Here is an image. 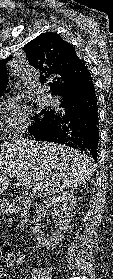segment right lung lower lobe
<instances>
[{"label": "right lung lower lobe", "instance_id": "right-lung-lower-lobe-1", "mask_svg": "<svg viewBox=\"0 0 113 279\" xmlns=\"http://www.w3.org/2000/svg\"><path fill=\"white\" fill-rule=\"evenodd\" d=\"M60 112L45 123L29 129L37 140L82 149L97 159L99 140L98 105L91 74L79 88L61 97Z\"/></svg>", "mask_w": 113, "mask_h": 279}]
</instances>
